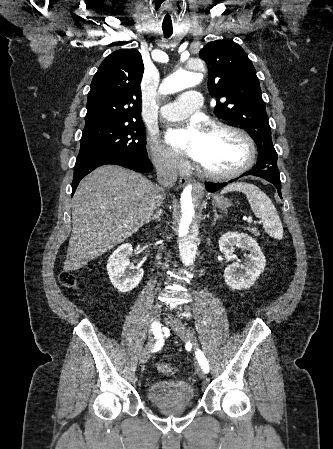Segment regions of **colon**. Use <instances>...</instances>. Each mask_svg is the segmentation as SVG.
Returning <instances> with one entry per match:
<instances>
[{
	"label": "colon",
	"instance_id": "colon-1",
	"mask_svg": "<svg viewBox=\"0 0 333 449\" xmlns=\"http://www.w3.org/2000/svg\"><path fill=\"white\" fill-rule=\"evenodd\" d=\"M59 281L61 285L67 288L75 287L77 284L75 275L70 271H62L59 275ZM156 369L158 372L164 375H173L175 373L174 367L164 362L157 363Z\"/></svg>",
	"mask_w": 333,
	"mask_h": 449
}]
</instances>
